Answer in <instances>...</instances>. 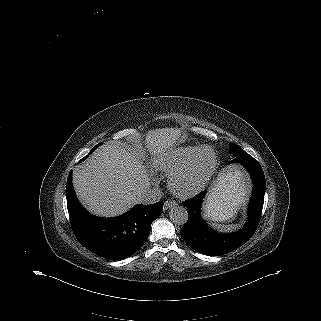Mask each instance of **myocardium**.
Wrapping results in <instances>:
<instances>
[{"label": "myocardium", "mask_w": 321, "mask_h": 321, "mask_svg": "<svg viewBox=\"0 0 321 321\" xmlns=\"http://www.w3.org/2000/svg\"><path fill=\"white\" fill-rule=\"evenodd\" d=\"M209 151L212 161L208 169L199 177L197 181L186 184L192 180L198 173V163L203 152ZM217 165V156L214 149L210 146H201L190 162L183 168L172 173L169 177L168 185L170 190L177 196L182 198L191 197L200 192L213 176Z\"/></svg>", "instance_id": "1"}]
</instances>
